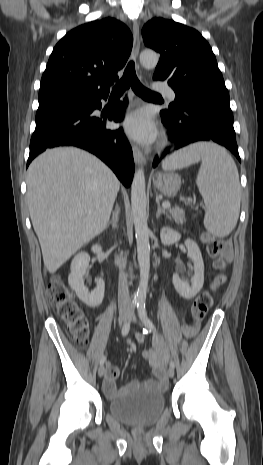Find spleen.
Masks as SVG:
<instances>
[{
	"instance_id": "spleen-1",
	"label": "spleen",
	"mask_w": 263,
	"mask_h": 465,
	"mask_svg": "<svg viewBox=\"0 0 263 465\" xmlns=\"http://www.w3.org/2000/svg\"><path fill=\"white\" fill-rule=\"evenodd\" d=\"M201 161L196 184L205 202L204 226L214 236L225 237L235 228L240 212L241 189L235 162L214 143H195L167 158L164 171Z\"/></svg>"
}]
</instances>
